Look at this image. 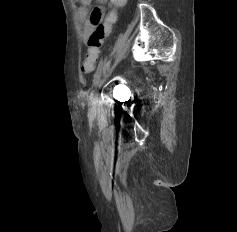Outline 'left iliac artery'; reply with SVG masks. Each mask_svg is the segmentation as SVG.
I'll return each instance as SVG.
<instances>
[{"mask_svg":"<svg viewBox=\"0 0 237 232\" xmlns=\"http://www.w3.org/2000/svg\"><path fill=\"white\" fill-rule=\"evenodd\" d=\"M103 67H102V60H100L99 66L97 71L94 74V83L101 77Z\"/></svg>","mask_w":237,"mask_h":232,"instance_id":"left-iliac-artery-1","label":"left iliac artery"}]
</instances>
